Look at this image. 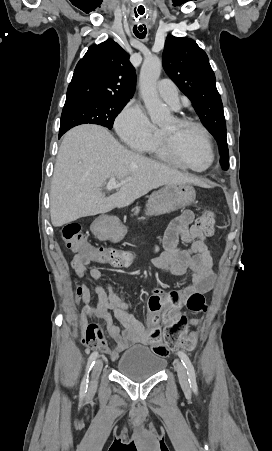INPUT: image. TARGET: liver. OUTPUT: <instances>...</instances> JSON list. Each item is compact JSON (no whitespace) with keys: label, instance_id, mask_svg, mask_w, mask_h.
<instances>
[{"label":"liver","instance_id":"obj_1","mask_svg":"<svg viewBox=\"0 0 272 451\" xmlns=\"http://www.w3.org/2000/svg\"><path fill=\"white\" fill-rule=\"evenodd\" d=\"M112 176L126 182L116 194L105 198L101 186ZM165 184L202 186L195 176L126 150L107 128L76 126L65 134L57 154L50 190L51 222L58 227L84 216L125 208Z\"/></svg>","mask_w":272,"mask_h":451}]
</instances>
